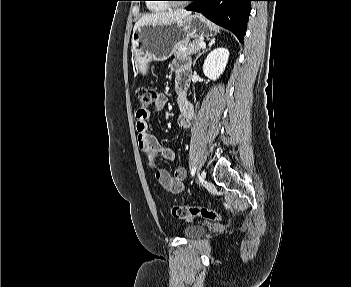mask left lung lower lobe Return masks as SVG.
<instances>
[{"instance_id": "1", "label": "left lung lower lobe", "mask_w": 351, "mask_h": 287, "mask_svg": "<svg viewBox=\"0 0 351 287\" xmlns=\"http://www.w3.org/2000/svg\"><path fill=\"white\" fill-rule=\"evenodd\" d=\"M186 10L202 13L212 22L231 30L240 40L246 32L247 20L253 0H190Z\"/></svg>"}]
</instances>
